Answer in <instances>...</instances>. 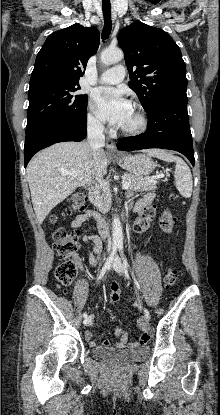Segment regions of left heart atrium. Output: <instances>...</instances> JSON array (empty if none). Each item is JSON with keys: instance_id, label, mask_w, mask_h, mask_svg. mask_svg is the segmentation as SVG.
Wrapping results in <instances>:
<instances>
[{"instance_id": "left-heart-atrium-1", "label": "left heart atrium", "mask_w": 220, "mask_h": 415, "mask_svg": "<svg viewBox=\"0 0 220 415\" xmlns=\"http://www.w3.org/2000/svg\"><path fill=\"white\" fill-rule=\"evenodd\" d=\"M97 115L104 121L122 126L132 112L130 101L115 88H99L94 92Z\"/></svg>"}]
</instances>
